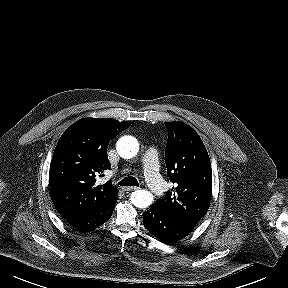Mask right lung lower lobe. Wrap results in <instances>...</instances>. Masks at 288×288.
<instances>
[{"label":"right lung lower lobe","instance_id":"1","mask_svg":"<svg viewBox=\"0 0 288 288\" xmlns=\"http://www.w3.org/2000/svg\"><path fill=\"white\" fill-rule=\"evenodd\" d=\"M117 197L107 202L98 210L78 216L66 219V221L82 232H87L96 229L98 226L103 225L113 213L114 206L116 204Z\"/></svg>","mask_w":288,"mask_h":288}]
</instances>
